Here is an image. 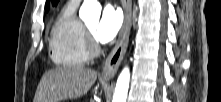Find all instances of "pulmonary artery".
<instances>
[{
    "label": "pulmonary artery",
    "mask_w": 221,
    "mask_h": 102,
    "mask_svg": "<svg viewBox=\"0 0 221 102\" xmlns=\"http://www.w3.org/2000/svg\"><path fill=\"white\" fill-rule=\"evenodd\" d=\"M72 1L78 2L79 0H72Z\"/></svg>",
    "instance_id": "1"
}]
</instances>
